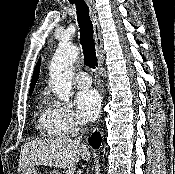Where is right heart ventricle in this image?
Segmentation results:
<instances>
[{
	"label": "right heart ventricle",
	"instance_id": "right-heart-ventricle-1",
	"mask_svg": "<svg viewBox=\"0 0 175 174\" xmlns=\"http://www.w3.org/2000/svg\"><path fill=\"white\" fill-rule=\"evenodd\" d=\"M38 129L40 132L50 138H61L63 135L54 125L52 115H51V106H49L46 101L41 100L38 106Z\"/></svg>",
	"mask_w": 175,
	"mask_h": 174
}]
</instances>
